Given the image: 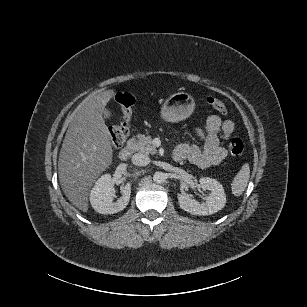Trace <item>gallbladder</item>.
<instances>
[{
    "instance_id": "1",
    "label": "gallbladder",
    "mask_w": 307,
    "mask_h": 307,
    "mask_svg": "<svg viewBox=\"0 0 307 307\" xmlns=\"http://www.w3.org/2000/svg\"><path fill=\"white\" fill-rule=\"evenodd\" d=\"M113 116V111L110 110V108H107L106 115H105V120L106 121H111Z\"/></svg>"
}]
</instances>
